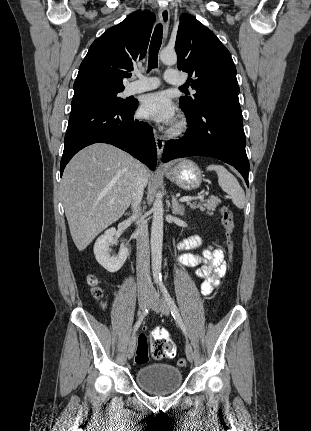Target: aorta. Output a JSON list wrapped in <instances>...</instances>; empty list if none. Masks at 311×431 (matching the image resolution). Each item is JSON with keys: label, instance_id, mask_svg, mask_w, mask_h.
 <instances>
[{"label": "aorta", "instance_id": "762f6f07", "mask_svg": "<svg viewBox=\"0 0 311 431\" xmlns=\"http://www.w3.org/2000/svg\"><path fill=\"white\" fill-rule=\"evenodd\" d=\"M159 58L166 66H174L177 64V54L175 50H162ZM153 219L151 225V255L152 269L155 281H160V271L162 265V247H163V200L155 198L153 208Z\"/></svg>", "mask_w": 311, "mask_h": 431}]
</instances>
